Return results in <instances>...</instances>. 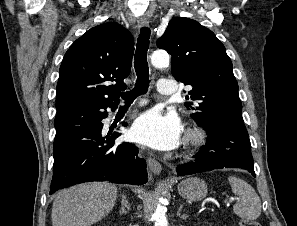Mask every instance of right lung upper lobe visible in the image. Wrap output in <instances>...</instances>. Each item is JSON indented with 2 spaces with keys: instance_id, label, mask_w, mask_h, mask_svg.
<instances>
[{
  "instance_id": "obj_1",
  "label": "right lung upper lobe",
  "mask_w": 297,
  "mask_h": 226,
  "mask_svg": "<svg viewBox=\"0 0 297 226\" xmlns=\"http://www.w3.org/2000/svg\"><path fill=\"white\" fill-rule=\"evenodd\" d=\"M134 51L131 33L110 22L88 30L66 52L59 71L56 110L84 103H119ZM107 81L117 82L107 85Z\"/></svg>"
}]
</instances>
